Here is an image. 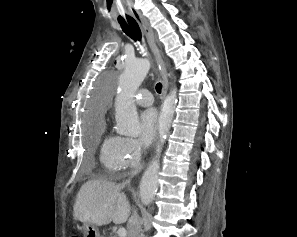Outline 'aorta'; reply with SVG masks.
<instances>
[{"label": "aorta", "instance_id": "obj_1", "mask_svg": "<svg viewBox=\"0 0 297 237\" xmlns=\"http://www.w3.org/2000/svg\"><path fill=\"white\" fill-rule=\"evenodd\" d=\"M150 70V62L146 59H133L126 63L124 72L119 77L121 89L115 101L116 130L120 135L138 136L141 125L138 118L134 96ZM177 104V88L166 97L159 116L158 133L160 141L157 155L145 170L140 182L141 202L148 206L156 195L158 188L159 155L165 136L168 134Z\"/></svg>", "mask_w": 297, "mask_h": 237}]
</instances>
